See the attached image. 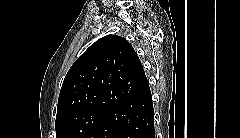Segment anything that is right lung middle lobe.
Instances as JSON below:
<instances>
[{"instance_id": "1", "label": "right lung middle lobe", "mask_w": 240, "mask_h": 138, "mask_svg": "<svg viewBox=\"0 0 240 138\" xmlns=\"http://www.w3.org/2000/svg\"><path fill=\"white\" fill-rule=\"evenodd\" d=\"M106 113L105 110L87 109L56 119V138H86Z\"/></svg>"}]
</instances>
